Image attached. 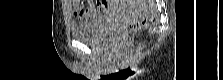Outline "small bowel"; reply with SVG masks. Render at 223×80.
<instances>
[{
    "mask_svg": "<svg viewBox=\"0 0 223 80\" xmlns=\"http://www.w3.org/2000/svg\"><path fill=\"white\" fill-rule=\"evenodd\" d=\"M73 12L80 20L97 19L102 13L112 8L113 2H88L86 5L73 3Z\"/></svg>",
    "mask_w": 223,
    "mask_h": 80,
    "instance_id": "obj_1",
    "label": "small bowel"
}]
</instances>
